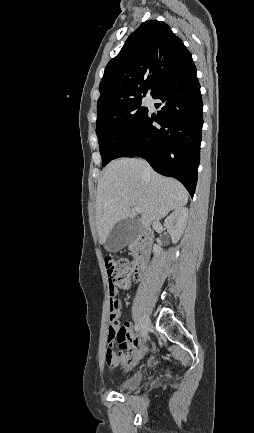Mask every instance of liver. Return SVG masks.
Listing matches in <instances>:
<instances>
[{"label":"liver","mask_w":254,"mask_h":433,"mask_svg":"<svg viewBox=\"0 0 254 433\" xmlns=\"http://www.w3.org/2000/svg\"><path fill=\"white\" fill-rule=\"evenodd\" d=\"M188 201L184 186L166 178L137 158L112 161L99 180L96 195V228L99 243L105 244L114 225L141 210V225L148 228L170 211L182 208Z\"/></svg>","instance_id":"6515ba94"}]
</instances>
